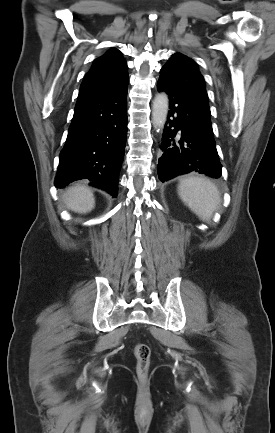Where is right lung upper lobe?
<instances>
[{
	"label": "right lung upper lobe",
	"instance_id": "right-lung-upper-lobe-1",
	"mask_svg": "<svg viewBox=\"0 0 275 433\" xmlns=\"http://www.w3.org/2000/svg\"><path fill=\"white\" fill-rule=\"evenodd\" d=\"M128 80L126 61L118 49L112 48L94 60L81 84L77 101L102 92L120 91L127 87Z\"/></svg>",
	"mask_w": 275,
	"mask_h": 433
}]
</instances>
